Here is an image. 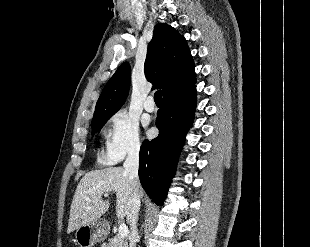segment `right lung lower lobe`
Here are the masks:
<instances>
[{
	"mask_svg": "<svg viewBox=\"0 0 310 247\" xmlns=\"http://www.w3.org/2000/svg\"><path fill=\"white\" fill-rule=\"evenodd\" d=\"M196 107L195 82L163 97L157 113L159 135L145 140L139 155V178L148 196L162 205L175 174L184 137L189 130Z\"/></svg>",
	"mask_w": 310,
	"mask_h": 247,
	"instance_id": "right-lung-lower-lobe-1",
	"label": "right lung lower lobe"
}]
</instances>
